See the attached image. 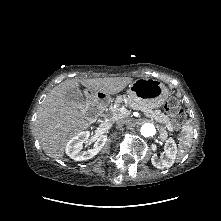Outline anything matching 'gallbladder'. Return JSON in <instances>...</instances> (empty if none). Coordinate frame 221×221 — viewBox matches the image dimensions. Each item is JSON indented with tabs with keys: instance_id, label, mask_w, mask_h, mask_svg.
<instances>
[{
	"instance_id": "1",
	"label": "gallbladder",
	"mask_w": 221,
	"mask_h": 221,
	"mask_svg": "<svg viewBox=\"0 0 221 221\" xmlns=\"http://www.w3.org/2000/svg\"><path fill=\"white\" fill-rule=\"evenodd\" d=\"M65 97L70 103H75L77 105H82L85 102L84 96L79 89L70 88L66 91Z\"/></svg>"
}]
</instances>
